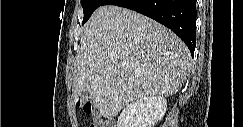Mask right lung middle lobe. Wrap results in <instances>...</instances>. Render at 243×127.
Wrapping results in <instances>:
<instances>
[{
	"label": "right lung middle lobe",
	"instance_id": "obj_1",
	"mask_svg": "<svg viewBox=\"0 0 243 127\" xmlns=\"http://www.w3.org/2000/svg\"><path fill=\"white\" fill-rule=\"evenodd\" d=\"M105 2V0H81L83 12H84V18L82 21V25L85 24L88 19L91 17L92 13L99 7L102 6V4Z\"/></svg>",
	"mask_w": 243,
	"mask_h": 127
}]
</instances>
